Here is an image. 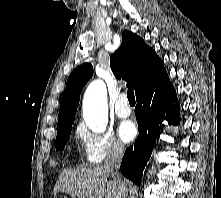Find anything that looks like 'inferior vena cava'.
Instances as JSON below:
<instances>
[{
	"label": "inferior vena cava",
	"instance_id": "obj_1",
	"mask_svg": "<svg viewBox=\"0 0 221 198\" xmlns=\"http://www.w3.org/2000/svg\"><path fill=\"white\" fill-rule=\"evenodd\" d=\"M123 148L121 146L115 145L109 151L103 168L110 173V175L116 180L119 184L124 186V181L119 174V167L121 164L122 156H123Z\"/></svg>",
	"mask_w": 221,
	"mask_h": 198
}]
</instances>
